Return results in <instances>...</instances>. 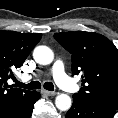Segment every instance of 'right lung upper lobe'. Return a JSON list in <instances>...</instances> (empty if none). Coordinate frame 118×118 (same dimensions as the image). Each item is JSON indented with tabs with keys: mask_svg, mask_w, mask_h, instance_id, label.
<instances>
[{
	"mask_svg": "<svg viewBox=\"0 0 118 118\" xmlns=\"http://www.w3.org/2000/svg\"><path fill=\"white\" fill-rule=\"evenodd\" d=\"M40 33L0 31V118H15L26 110L37 92L8 85L14 68H20L41 39Z\"/></svg>",
	"mask_w": 118,
	"mask_h": 118,
	"instance_id": "cb5924a9",
	"label": "right lung upper lobe"
}]
</instances>
